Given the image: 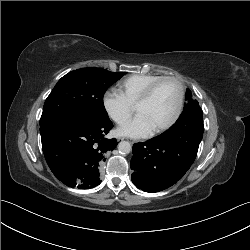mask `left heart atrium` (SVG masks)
I'll return each instance as SVG.
<instances>
[{
  "mask_svg": "<svg viewBox=\"0 0 250 250\" xmlns=\"http://www.w3.org/2000/svg\"><path fill=\"white\" fill-rule=\"evenodd\" d=\"M117 133L121 136L131 138H143L152 133V129L141 114H137L134 118L123 124L117 129Z\"/></svg>",
  "mask_w": 250,
  "mask_h": 250,
  "instance_id": "left-heart-atrium-1",
  "label": "left heart atrium"
}]
</instances>
